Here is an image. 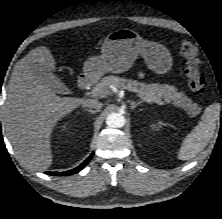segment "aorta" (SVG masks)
Here are the masks:
<instances>
[{"label":"aorta","instance_id":"762f6f07","mask_svg":"<svg viewBox=\"0 0 222 219\" xmlns=\"http://www.w3.org/2000/svg\"><path fill=\"white\" fill-rule=\"evenodd\" d=\"M106 124L110 128H121L125 125V117L120 113H110L106 118Z\"/></svg>","mask_w":222,"mask_h":219}]
</instances>
